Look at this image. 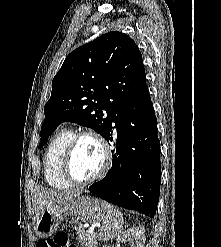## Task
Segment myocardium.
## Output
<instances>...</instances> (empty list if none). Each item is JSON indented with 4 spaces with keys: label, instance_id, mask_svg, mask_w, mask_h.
Wrapping results in <instances>:
<instances>
[{
    "label": "myocardium",
    "instance_id": "obj_1",
    "mask_svg": "<svg viewBox=\"0 0 221 247\" xmlns=\"http://www.w3.org/2000/svg\"><path fill=\"white\" fill-rule=\"evenodd\" d=\"M84 138H91L94 141L97 142L99 145L102 155H103V163L100 168V170L93 176L86 178V179H78L74 176L72 172V157L73 153L78 145V143L84 139ZM112 151L111 148L106 141V139L99 134L98 132L94 130H82L77 133H75L70 140L64 156H63V162H62V171L65 176V178L72 184L76 185H87L93 182H96L97 180L103 178L106 173L109 171L111 164H112Z\"/></svg>",
    "mask_w": 221,
    "mask_h": 247
}]
</instances>
